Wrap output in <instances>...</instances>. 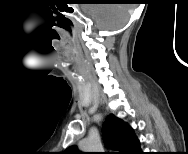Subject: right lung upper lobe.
Instances as JSON below:
<instances>
[{
	"mask_svg": "<svg viewBox=\"0 0 188 154\" xmlns=\"http://www.w3.org/2000/svg\"><path fill=\"white\" fill-rule=\"evenodd\" d=\"M103 134L109 147L119 154H137L140 151L139 141L133 129L113 114H110L103 125ZM68 153H77V147L71 146Z\"/></svg>",
	"mask_w": 188,
	"mask_h": 154,
	"instance_id": "1",
	"label": "right lung upper lobe"
}]
</instances>
